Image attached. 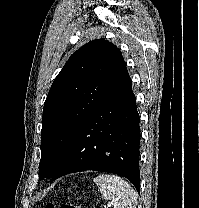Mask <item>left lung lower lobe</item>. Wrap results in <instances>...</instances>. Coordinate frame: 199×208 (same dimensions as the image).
Returning <instances> with one entry per match:
<instances>
[{"label": "left lung lower lobe", "mask_w": 199, "mask_h": 208, "mask_svg": "<svg viewBox=\"0 0 199 208\" xmlns=\"http://www.w3.org/2000/svg\"><path fill=\"white\" fill-rule=\"evenodd\" d=\"M139 143V114L128 75L77 130L51 182L74 172L104 171L128 178L139 192Z\"/></svg>", "instance_id": "obj_1"}]
</instances>
